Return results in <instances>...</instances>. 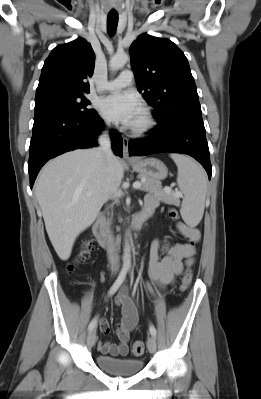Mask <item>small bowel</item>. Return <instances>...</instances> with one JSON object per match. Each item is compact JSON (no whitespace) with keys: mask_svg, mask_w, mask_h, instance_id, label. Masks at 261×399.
<instances>
[{"mask_svg":"<svg viewBox=\"0 0 261 399\" xmlns=\"http://www.w3.org/2000/svg\"><path fill=\"white\" fill-rule=\"evenodd\" d=\"M159 205L158 198L153 194L145 197L144 209L154 211ZM178 231L188 240V243L169 245L160 239L152 242L150 248L149 276L151 282L147 284L152 293V283L168 285L179 275L184 266L192 265L196 253L195 244L200 241V231L184 223L177 224ZM121 307L122 316L116 327L118 344L100 342L99 350L102 354L111 356H125L129 350L130 334L139 319L137 303L128 295L126 288L122 289L115 299ZM100 332L110 333L111 328L107 319L102 318L99 323Z\"/></svg>","mask_w":261,"mask_h":399,"instance_id":"c3829d8e","label":"small bowel"}]
</instances>
